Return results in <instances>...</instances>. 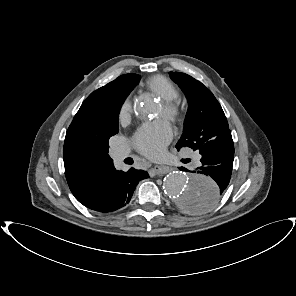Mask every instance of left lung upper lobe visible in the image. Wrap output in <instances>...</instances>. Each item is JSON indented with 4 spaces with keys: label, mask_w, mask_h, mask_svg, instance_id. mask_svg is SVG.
<instances>
[{
    "label": "left lung upper lobe",
    "mask_w": 296,
    "mask_h": 296,
    "mask_svg": "<svg viewBox=\"0 0 296 296\" xmlns=\"http://www.w3.org/2000/svg\"><path fill=\"white\" fill-rule=\"evenodd\" d=\"M169 74L188 99L183 134L176 148L189 147L202 154L210 147V141L230 131L225 114L212 92L201 82L185 73ZM193 200L188 199L185 206Z\"/></svg>",
    "instance_id": "1"
}]
</instances>
